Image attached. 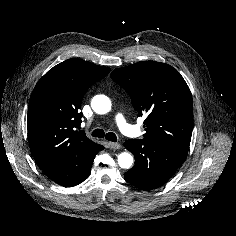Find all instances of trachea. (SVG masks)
Wrapping results in <instances>:
<instances>
[{
	"label": "trachea",
	"instance_id": "1",
	"mask_svg": "<svg viewBox=\"0 0 236 236\" xmlns=\"http://www.w3.org/2000/svg\"><path fill=\"white\" fill-rule=\"evenodd\" d=\"M91 135L93 137H98V138H106L109 141L116 142L117 137L113 132H108L105 134L103 129H95L92 131Z\"/></svg>",
	"mask_w": 236,
	"mask_h": 236
}]
</instances>
